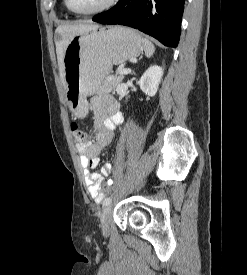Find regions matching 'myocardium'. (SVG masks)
Returning a JSON list of instances; mask_svg holds the SVG:
<instances>
[{
  "instance_id": "1",
  "label": "myocardium",
  "mask_w": 247,
  "mask_h": 275,
  "mask_svg": "<svg viewBox=\"0 0 247 275\" xmlns=\"http://www.w3.org/2000/svg\"><path fill=\"white\" fill-rule=\"evenodd\" d=\"M118 2V0H108L106 3H104L103 5H101L100 7L90 10V11H77L74 10L73 8L70 7L69 5V1L68 0H64V3L67 7V9L76 14V15H80V16H89V15H95V14H99L102 13L104 11H107L109 9H111L113 6L116 5V3Z\"/></svg>"
}]
</instances>
